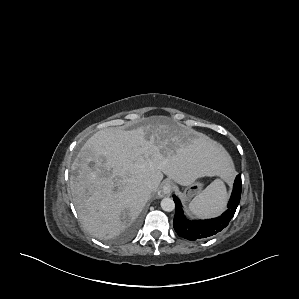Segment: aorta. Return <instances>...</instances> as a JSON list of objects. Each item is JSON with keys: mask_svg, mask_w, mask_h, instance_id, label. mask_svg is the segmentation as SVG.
Here are the masks:
<instances>
[{"mask_svg": "<svg viewBox=\"0 0 299 299\" xmlns=\"http://www.w3.org/2000/svg\"><path fill=\"white\" fill-rule=\"evenodd\" d=\"M161 208L166 212H171L175 209V202L169 197L163 198L161 200Z\"/></svg>", "mask_w": 299, "mask_h": 299, "instance_id": "1", "label": "aorta"}]
</instances>
